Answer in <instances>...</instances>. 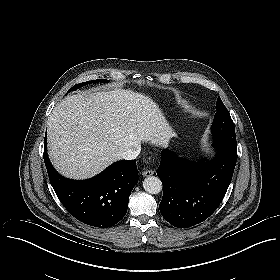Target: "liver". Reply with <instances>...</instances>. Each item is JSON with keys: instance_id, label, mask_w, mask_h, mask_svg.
<instances>
[{"instance_id": "1", "label": "liver", "mask_w": 280, "mask_h": 280, "mask_svg": "<svg viewBox=\"0 0 280 280\" xmlns=\"http://www.w3.org/2000/svg\"><path fill=\"white\" fill-rule=\"evenodd\" d=\"M48 153L65 177H93L141 142L166 146L173 131L156 103L114 89L63 99L48 118Z\"/></svg>"}]
</instances>
